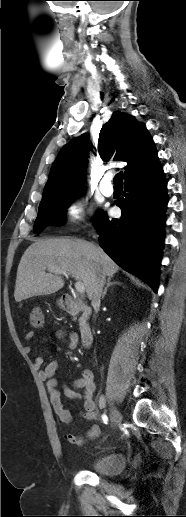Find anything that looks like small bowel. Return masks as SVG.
Returning a JSON list of instances; mask_svg holds the SVG:
<instances>
[{"label": "small bowel", "mask_w": 186, "mask_h": 517, "mask_svg": "<svg viewBox=\"0 0 186 517\" xmlns=\"http://www.w3.org/2000/svg\"><path fill=\"white\" fill-rule=\"evenodd\" d=\"M55 336L58 339H68L69 349L77 348L80 343L79 336L75 331L59 330L55 333ZM33 338L34 334L32 332H28L25 335V339L27 341H31ZM25 351L27 353H31V346H26ZM33 363L39 372L40 378L46 381L51 405L61 422L65 424L71 423L73 420V415L62 402L61 390L59 387L60 385L66 397L70 399L83 400V410L79 414L82 418L88 422H94L97 420L98 417L95 411L96 404L94 400L96 384L94 376L89 369H84L82 371L81 377L73 380L71 386H68L65 383L60 384L59 381L55 378V375L60 370V364L57 361H51L44 368H42L44 359L41 356H36ZM76 390H82L83 393L80 394ZM101 433L102 431L100 426L94 424L87 430L84 435L69 432L64 435V438L70 444L81 446L87 440H94L99 438Z\"/></svg>", "instance_id": "obj_1"}]
</instances>
